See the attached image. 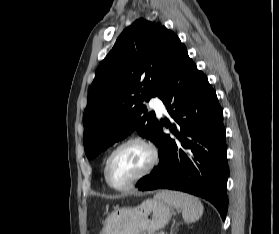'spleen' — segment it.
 Returning <instances> with one entry per match:
<instances>
[{
  "label": "spleen",
  "mask_w": 279,
  "mask_h": 234,
  "mask_svg": "<svg viewBox=\"0 0 279 234\" xmlns=\"http://www.w3.org/2000/svg\"><path fill=\"white\" fill-rule=\"evenodd\" d=\"M156 198L169 205L182 210V216L187 223H193L200 219L204 207L201 201L189 194L177 191H161Z\"/></svg>",
  "instance_id": "obj_1"
}]
</instances>
